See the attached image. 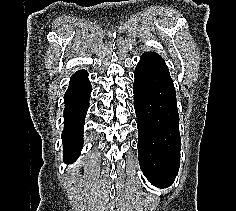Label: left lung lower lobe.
<instances>
[{
    "label": "left lung lower lobe",
    "instance_id": "0a47b994",
    "mask_svg": "<svg viewBox=\"0 0 236 211\" xmlns=\"http://www.w3.org/2000/svg\"><path fill=\"white\" fill-rule=\"evenodd\" d=\"M134 109L138 126V158L147 179L170 186L180 165L179 115L173 81L165 61L145 52L134 72Z\"/></svg>",
    "mask_w": 236,
    "mask_h": 211
}]
</instances>
